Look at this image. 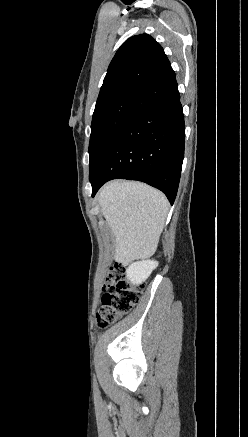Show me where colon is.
<instances>
[{
  "label": "colon",
  "instance_id": "colon-1",
  "mask_svg": "<svg viewBox=\"0 0 248 437\" xmlns=\"http://www.w3.org/2000/svg\"><path fill=\"white\" fill-rule=\"evenodd\" d=\"M143 286L132 285L126 276V265L111 267L106 276L101 295L100 308L96 315L97 326L107 328L128 314L140 301Z\"/></svg>",
  "mask_w": 248,
  "mask_h": 437
}]
</instances>
